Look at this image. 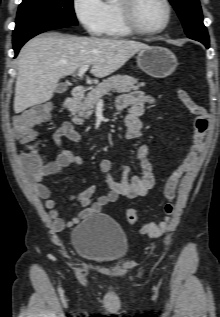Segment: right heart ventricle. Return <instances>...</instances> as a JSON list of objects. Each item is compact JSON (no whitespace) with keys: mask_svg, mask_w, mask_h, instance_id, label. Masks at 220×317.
Masks as SVG:
<instances>
[{"mask_svg":"<svg viewBox=\"0 0 220 317\" xmlns=\"http://www.w3.org/2000/svg\"><path fill=\"white\" fill-rule=\"evenodd\" d=\"M102 34L111 38H124L131 32L124 26L118 9L117 0H106L104 3Z\"/></svg>","mask_w":220,"mask_h":317,"instance_id":"obj_1","label":"right heart ventricle"}]
</instances>
